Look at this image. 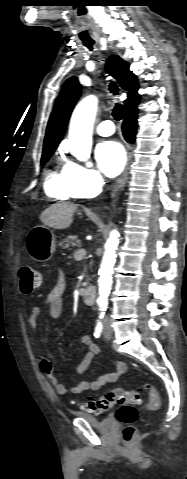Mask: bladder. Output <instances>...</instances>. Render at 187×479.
I'll list each match as a JSON object with an SVG mask.
<instances>
[{
  "label": "bladder",
  "mask_w": 187,
  "mask_h": 479,
  "mask_svg": "<svg viewBox=\"0 0 187 479\" xmlns=\"http://www.w3.org/2000/svg\"><path fill=\"white\" fill-rule=\"evenodd\" d=\"M73 414L79 418L86 420L102 433L111 434L116 429V424L110 417L98 419L93 415L81 411H75Z\"/></svg>",
  "instance_id": "obj_1"
}]
</instances>
